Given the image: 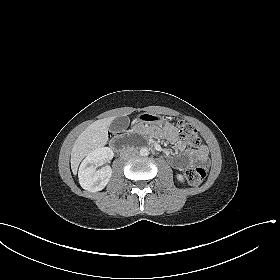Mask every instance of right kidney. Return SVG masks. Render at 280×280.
<instances>
[{
    "instance_id": "obj_1",
    "label": "right kidney",
    "mask_w": 280,
    "mask_h": 280,
    "mask_svg": "<svg viewBox=\"0 0 280 280\" xmlns=\"http://www.w3.org/2000/svg\"><path fill=\"white\" fill-rule=\"evenodd\" d=\"M114 156L108 147H100L91 151L80 165L78 178L81 187L89 192H97L105 188L111 176L110 166L96 170V167L109 162Z\"/></svg>"
}]
</instances>
